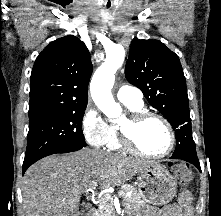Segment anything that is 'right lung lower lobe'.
Returning <instances> with one entry per match:
<instances>
[{
  "label": "right lung lower lobe",
  "mask_w": 221,
  "mask_h": 216,
  "mask_svg": "<svg viewBox=\"0 0 221 216\" xmlns=\"http://www.w3.org/2000/svg\"><path fill=\"white\" fill-rule=\"evenodd\" d=\"M77 150H80V149H66V150H62V151H58V152H55L53 154H56V153H68V152H74V151H77ZM33 163H29V164H23V174L25 173V171L28 169L29 166H31Z\"/></svg>",
  "instance_id": "1"
}]
</instances>
